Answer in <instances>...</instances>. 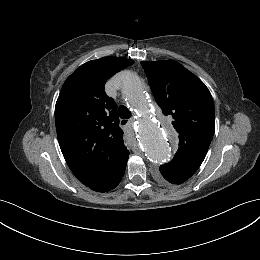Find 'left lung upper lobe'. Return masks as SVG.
<instances>
[{
	"label": "left lung upper lobe",
	"mask_w": 260,
	"mask_h": 260,
	"mask_svg": "<svg viewBox=\"0 0 260 260\" xmlns=\"http://www.w3.org/2000/svg\"><path fill=\"white\" fill-rule=\"evenodd\" d=\"M152 92L179 135L173 160L161 165L160 174L193 175L202 164L215 131V109L205 84L174 60L141 62Z\"/></svg>",
	"instance_id": "left-lung-upper-lobe-1"
}]
</instances>
